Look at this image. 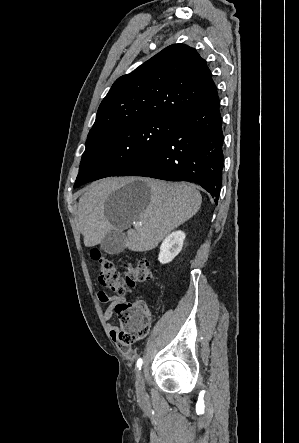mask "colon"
<instances>
[{"label":"colon","instance_id":"1","mask_svg":"<svg viewBox=\"0 0 299 443\" xmlns=\"http://www.w3.org/2000/svg\"><path fill=\"white\" fill-rule=\"evenodd\" d=\"M91 256L99 262L100 283L118 294L130 291L136 283L151 280L154 275V266L147 260H139L135 265L126 264V271L122 275L114 263L102 256L100 251L92 250ZM115 313L120 324L118 341L122 352L128 354L134 343L148 335L153 317L142 300L119 303L115 307Z\"/></svg>","mask_w":299,"mask_h":443}]
</instances>
